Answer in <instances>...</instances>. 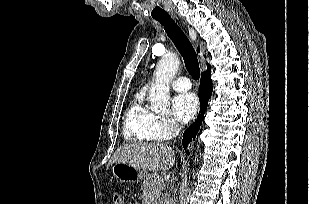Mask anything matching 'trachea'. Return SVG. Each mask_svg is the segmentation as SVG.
Listing matches in <instances>:
<instances>
[{
    "mask_svg": "<svg viewBox=\"0 0 309 204\" xmlns=\"http://www.w3.org/2000/svg\"><path fill=\"white\" fill-rule=\"evenodd\" d=\"M154 19L159 21L164 26L167 35L182 55L189 74L194 79H199L200 68L197 55L192 44L181 30V28L171 19L168 14L156 16Z\"/></svg>",
    "mask_w": 309,
    "mask_h": 204,
    "instance_id": "trachea-1",
    "label": "trachea"
}]
</instances>
